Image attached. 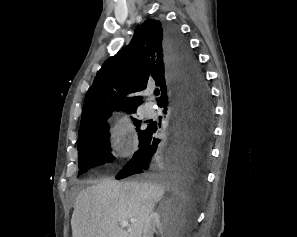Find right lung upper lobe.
Segmentation results:
<instances>
[{
  "label": "right lung upper lobe",
  "instance_id": "1",
  "mask_svg": "<svg viewBox=\"0 0 297 237\" xmlns=\"http://www.w3.org/2000/svg\"><path fill=\"white\" fill-rule=\"evenodd\" d=\"M165 23L148 19L134 33L130 44L110 57L89 88L82 110L79 134L110 117L113 110L135 112L142 97L131 96L154 80L162 102L172 87L165 52Z\"/></svg>",
  "mask_w": 297,
  "mask_h": 237
}]
</instances>
